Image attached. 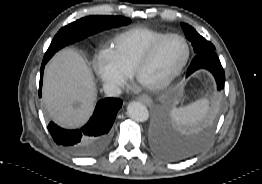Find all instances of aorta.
<instances>
[{
  "label": "aorta",
  "mask_w": 262,
  "mask_h": 184,
  "mask_svg": "<svg viewBox=\"0 0 262 184\" xmlns=\"http://www.w3.org/2000/svg\"><path fill=\"white\" fill-rule=\"evenodd\" d=\"M128 115L137 122H145L149 118L147 107L138 101H132L127 106Z\"/></svg>",
  "instance_id": "1"
}]
</instances>
